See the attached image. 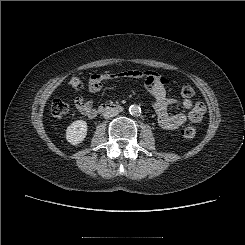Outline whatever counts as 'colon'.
<instances>
[{"label":"colon","instance_id":"obj_1","mask_svg":"<svg viewBox=\"0 0 245 245\" xmlns=\"http://www.w3.org/2000/svg\"><path fill=\"white\" fill-rule=\"evenodd\" d=\"M68 86L73 90H81L84 87L83 79L80 75H72L69 77ZM181 94L185 98H190L194 95V89L192 86L186 84L181 88ZM68 112V105L62 99H54L51 103V113L56 117H61ZM196 134V129L192 126H188L183 129L182 135L185 138H193Z\"/></svg>","mask_w":245,"mask_h":245}]
</instances>
